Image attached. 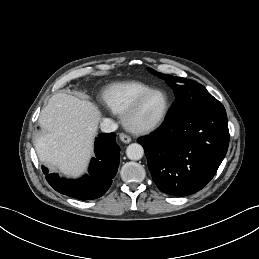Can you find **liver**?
<instances>
[{
  "mask_svg": "<svg viewBox=\"0 0 259 259\" xmlns=\"http://www.w3.org/2000/svg\"><path fill=\"white\" fill-rule=\"evenodd\" d=\"M99 121L101 113L93 103L65 93L53 95L39 116V159L66 176H80L93 155Z\"/></svg>",
  "mask_w": 259,
  "mask_h": 259,
  "instance_id": "liver-1",
  "label": "liver"
}]
</instances>
